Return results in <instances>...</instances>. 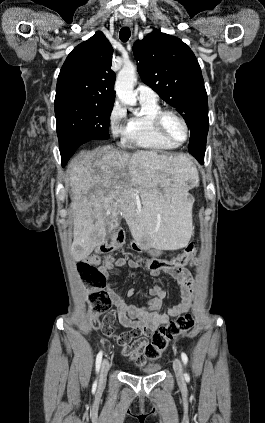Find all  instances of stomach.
Returning a JSON list of instances; mask_svg holds the SVG:
<instances>
[{
	"mask_svg": "<svg viewBox=\"0 0 265 423\" xmlns=\"http://www.w3.org/2000/svg\"><path fill=\"white\" fill-rule=\"evenodd\" d=\"M139 246L143 249L146 250L151 256H159L162 253L157 250V249H152V248H146L143 244H139Z\"/></svg>",
	"mask_w": 265,
	"mask_h": 423,
	"instance_id": "0dacf381",
	"label": "stomach"
}]
</instances>
